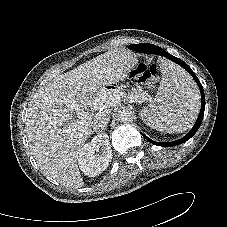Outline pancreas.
Segmentation results:
<instances>
[{"mask_svg": "<svg viewBox=\"0 0 227 227\" xmlns=\"http://www.w3.org/2000/svg\"><path fill=\"white\" fill-rule=\"evenodd\" d=\"M131 94L134 96V97H139L142 98L143 96L146 97V93L145 92H142V89L141 88H134L132 89V92Z\"/></svg>", "mask_w": 227, "mask_h": 227, "instance_id": "1", "label": "pancreas"}]
</instances>
